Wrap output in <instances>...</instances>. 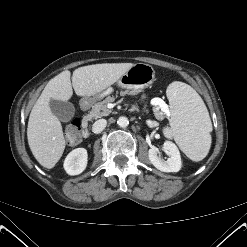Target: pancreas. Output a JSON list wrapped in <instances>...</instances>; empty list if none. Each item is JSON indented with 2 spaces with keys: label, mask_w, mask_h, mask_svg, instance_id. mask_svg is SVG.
Listing matches in <instances>:
<instances>
[{
  "label": "pancreas",
  "mask_w": 247,
  "mask_h": 247,
  "mask_svg": "<svg viewBox=\"0 0 247 247\" xmlns=\"http://www.w3.org/2000/svg\"><path fill=\"white\" fill-rule=\"evenodd\" d=\"M128 91H122L121 95L127 94ZM132 93V92H130ZM115 100V97L113 96H108L106 97L103 101L96 103L93 107L92 110L89 112V114L86 116L88 120L91 119H97L101 118L104 116H108L112 111L107 108V104L110 102H113ZM156 109V108H154Z\"/></svg>",
  "instance_id": "obj_1"
}]
</instances>
